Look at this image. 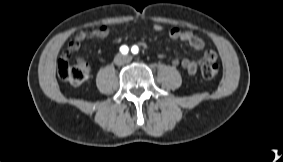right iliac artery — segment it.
Listing matches in <instances>:
<instances>
[{
  "mask_svg": "<svg viewBox=\"0 0 283 162\" xmlns=\"http://www.w3.org/2000/svg\"><path fill=\"white\" fill-rule=\"evenodd\" d=\"M120 51H121L122 54H127L129 49L126 45H123V46L120 47Z\"/></svg>",
  "mask_w": 283,
  "mask_h": 162,
  "instance_id": "82829eb1",
  "label": "right iliac artery"
}]
</instances>
